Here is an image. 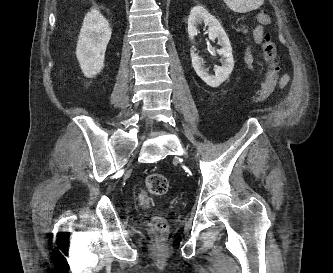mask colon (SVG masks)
I'll use <instances>...</instances> for the list:
<instances>
[{
	"instance_id": "obj_1",
	"label": "colon",
	"mask_w": 333,
	"mask_h": 273,
	"mask_svg": "<svg viewBox=\"0 0 333 273\" xmlns=\"http://www.w3.org/2000/svg\"><path fill=\"white\" fill-rule=\"evenodd\" d=\"M257 20L264 25L271 23L269 15L266 13H258ZM262 59L266 63V71L256 92V101L261 103L266 101L274 92L279 79V68L276 63V46L272 41L271 35L266 34L262 44ZM169 188L167 178L160 173H153L147 176L144 184V190L140 195L143 204L147 203V195H164ZM167 224L164 218L155 217L151 223V229L156 233L166 231Z\"/></svg>"
}]
</instances>
